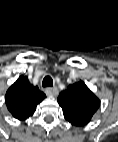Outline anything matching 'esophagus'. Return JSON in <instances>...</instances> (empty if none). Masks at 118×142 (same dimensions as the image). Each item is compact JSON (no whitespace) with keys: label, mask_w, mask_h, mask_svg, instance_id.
<instances>
[{"label":"esophagus","mask_w":118,"mask_h":142,"mask_svg":"<svg viewBox=\"0 0 118 142\" xmlns=\"http://www.w3.org/2000/svg\"><path fill=\"white\" fill-rule=\"evenodd\" d=\"M58 89L56 87H49L46 89V94L49 96H57L58 95Z\"/></svg>","instance_id":"34e87169"}]
</instances>
